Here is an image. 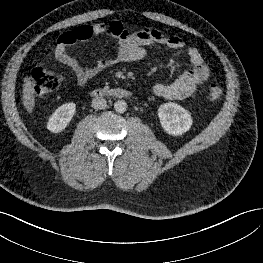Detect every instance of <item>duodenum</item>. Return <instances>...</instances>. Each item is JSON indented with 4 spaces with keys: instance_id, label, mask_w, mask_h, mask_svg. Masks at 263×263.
Returning <instances> with one entry per match:
<instances>
[{
    "instance_id": "duodenum-1",
    "label": "duodenum",
    "mask_w": 263,
    "mask_h": 263,
    "mask_svg": "<svg viewBox=\"0 0 263 263\" xmlns=\"http://www.w3.org/2000/svg\"><path fill=\"white\" fill-rule=\"evenodd\" d=\"M94 97L128 98L132 95L129 90L122 88H97L91 92Z\"/></svg>"
}]
</instances>
